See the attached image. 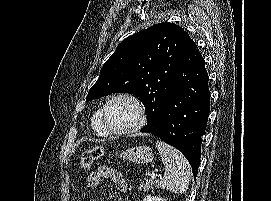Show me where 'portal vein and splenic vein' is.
Wrapping results in <instances>:
<instances>
[{"instance_id":"portal-vein-and-splenic-vein-1","label":"portal vein and splenic vein","mask_w":271,"mask_h":201,"mask_svg":"<svg viewBox=\"0 0 271 201\" xmlns=\"http://www.w3.org/2000/svg\"><path fill=\"white\" fill-rule=\"evenodd\" d=\"M157 178V175L156 174H152L151 175V179H156Z\"/></svg>"}]
</instances>
